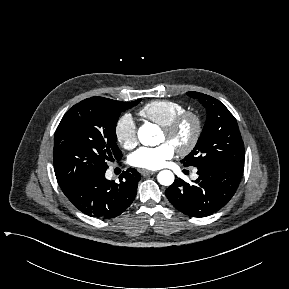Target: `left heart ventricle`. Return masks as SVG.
<instances>
[{
    "label": "left heart ventricle",
    "instance_id": "obj_1",
    "mask_svg": "<svg viewBox=\"0 0 289 289\" xmlns=\"http://www.w3.org/2000/svg\"><path fill=\"white\" fill-rule=\"evenodd\" d=\"M193 129L192 121H186L172 137H168L164 132H161L159 141L160 143H169L176 149L177 147L185 145L190 140Z\"/></svg>",
    "mask_w": 289,
    "mask_h": 289
}]
</instances>
